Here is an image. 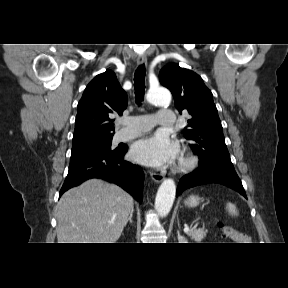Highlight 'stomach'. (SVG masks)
Wrapping results in <instances>:
<instances>
[{
	"label": "stomach",
	"instance_id": "stomach-1",
	"mask_svg": "<svg viewBox=\"0 0 288 288\" xmlns=\"http://www.w3.org/2000/svg\"><path fill=\"white\" fill-rule=\"evenodd\" d=\"M200 203V198L197 196H190L185 200V205L188 207H196Z\"/></svg>",
	"mask_w": 288,
	"mask_h": 288
}]
</instances>
